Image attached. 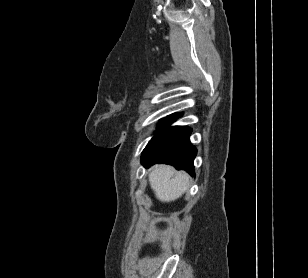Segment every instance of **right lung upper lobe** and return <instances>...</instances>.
<instances>
[{"instance_id":"cb5924a9","label":"right lung upper lobe","mask_w":308,"mask_h":278,"mask_svg":"<svg viewBox=\"0 0 308 278\" xmlns=\"http://www.w3.org/2000/svg\"><path fill=\"white\" fill-rule=\"evenodd\" d=\"M181 115H182L181 113H176V114H173L171 116L180 117Z\"/></svg>"}]
</instances>
